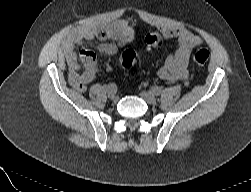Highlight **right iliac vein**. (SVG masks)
I'll list each match as a JSON object with an SVG mask.
<instances>
[{
    "mask_svg": "<svg viewBox=\"0 0 251 192\" xmlns=\"http://www.w3.org/2000/svg\"><path fill=\"white\" fill-rule=\"evenodd\" d=\"M108 97L113 100V101H117L118 97L116 95V92H108Z\"/></svg>",
    "mask_w": 251,
    "mask_h": 192,
    "instance_id": "63e3f726",
    "label": "right iliac vein"
}]
</instances>
